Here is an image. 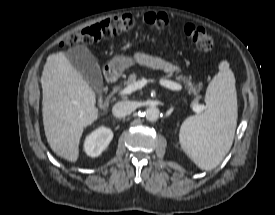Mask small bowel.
<instances>
[{
	"label": "small bowel",
	"mask_w": 275,
	"mask_h": 215,
	"mask_svg": "<svg viewBox=\"0 0 275 215\" xmlns=\"http://www.w3.org/2000/svg\"><path fill=\"white\" fill-rule=\"evenodd\" d=\"M155 66L162 69L167 74H174L179 69L177 63L162 62V63H159L158 65H155Z\"/></svg>",
	"instance_id": "small-bowel-1"
}]
</instances>
